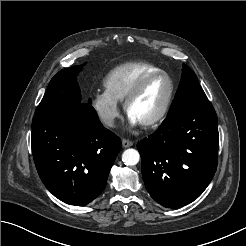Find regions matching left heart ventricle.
Wrapping results in <instances>:
<instances>
[{
	"instance_id": "left-heart-ventricle-1",
	"label": "left heart ventricle",
	"mask_w": 246,
	"mask_h": 246,
	"mask_svg": "<svg viewBox=\"0 0 246 246\" xmlns=\"http://www.w3.org/2000/svg\"><path fill=\"white\" fill-rule=\"evenodd\" d=\"M170 83L165 76L153 79L129 108V115L139 124L153 119L162 110L169 95Z\"/></svg>"
}]
</instances>
